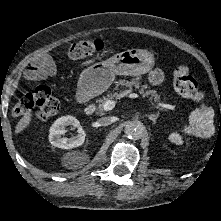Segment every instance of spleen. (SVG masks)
I'll list each match as a JSON object with an SVG mask.
<instances>
[{
    "instance_id": "obj_1",
    "label": "spleen",
    "mask_w": 221,
    "mask_h": 221,
    "mask_svg": "<svg viewBox=\"0 0 221 221\" xmlns=\"http://www.w3.org/2000/svg\"><path fill=\"white\" fill-rule=\"evenodd\" d=\"M214 115L211 107L193 110L189 115V124L183 126L182 132L188 136L210 138L215 133Z\"/></svg>"
}]
</instances>
